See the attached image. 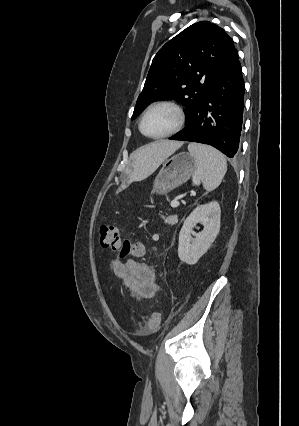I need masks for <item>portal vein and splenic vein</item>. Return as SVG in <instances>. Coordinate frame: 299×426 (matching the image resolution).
<instances>
[{"label":"portal vein and splenic vein","mask_w":299,"mask_h":426,"mask_svg":"<svg viewBox=\"0 0 299 426\" xmlns=\"http://www.w3.org/2000/svg\"><path fill=\"white\" fill-rule=\"evenodd\" d=\"M171 206H172V207H178V206H179V202H178V200H177V199L173 200V201L171 202Z\"/></svg>","instance_id":"1"}]
</instances>
